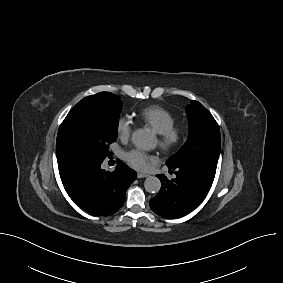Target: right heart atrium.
<instances>
[{
	"label": "right heart atrium",
	"instance_id": "d8ad5b80",
	"mask_svg": "<svg viewBox=\"0 0 283 283\" xmlns=\"http://www.w3.org/2000/svg\"><path fill=\"white\" fill-rule=\"evenodd\" d=\"M133 130V121L128 116H122L118 119L116 125V131L118 137L126 141L130 138Z\"/></svg>",
	"mask_w": 283,
	"mask_h": 283
}]
</instances>
